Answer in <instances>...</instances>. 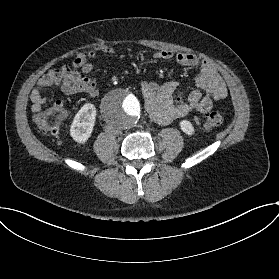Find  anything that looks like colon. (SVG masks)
I'll use <instances>...</instances> for the list:
<instances>
[{
	"instance_id": "1",
	"label": "colon",
	"mask_w": 279,
	"mask_h": 279,
	"mask_svg": "<svg viewBox=\"0 0 279 279\" xmlns=\"http://www.w3.org/2000/svg\"><path fill=\"white\" fill-rule=\"evenodd\" d=\"M66 117V110L59 109L54 106L47 107L35 114V122L45 135L58 136L59 128L62 121ZM222 123V115L220 112H213L206 116L203 124L205 130H213Z\"/></svg>"
}]
</instances>
